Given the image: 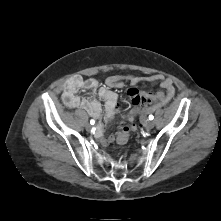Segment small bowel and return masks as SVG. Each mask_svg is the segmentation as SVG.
<instances>
[{
	"instance_id": "c3829d8e",
	"label": "small bowel",
	"mask_w": 221,
	"mask_h": 221,
	"mask_svg": "<svg viewBox=\"0 0 221 221\" xmlns=\"http://www.w3.org/2000/svg\"><path fill=\"white\" fill-rule=\"evenodd\" d=\"M142 81L159 83L160 87L163 89V91H159L156 96L152 98L155 106L165 104L175 94L173 81L170 78L163 77L159 74L148 77H140L136 75H113L105 80L104 86H99L100 84L97 79H84L81 76H74L66 82L63 91V100L69 108H81L91 117L99 119L102 115V108L100 102L95 98V95L97 94L99 98L104 101V115L96 128V136L102 143L108 144L115 140V136H105V128L114 118L119 109L118 94L114 89L122 88L124 82H129L132 86H136ZM80 90L88 91L89 96L81 97L79 95ZM147 95L148 94L144 91H138L135 88H131L128 92V96L133 104L130 111H134L135 106L138 103L144 102L147 99Z\"/></svg>"
}]
</instances>
